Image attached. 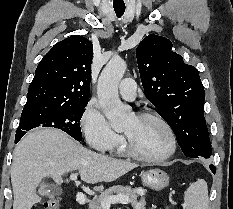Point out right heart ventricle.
<instances>
[{"instance_id":"obj_1","label":"right heart ventricle","mask_w":233,"mask_h":209,"mask_svg":"<svg viewBox=\"0 0 233 209\" xmlns=\"http://www.w3.org/2000/svg\"><path fill=\"white\" fill-rule=\"evenodd\" d=\"M110 151V153L118 155V156H124L125 155V150L124 147L121 143H119L117 146H115L114 148L108 150Z\"/></svg>"}]
</instances>
